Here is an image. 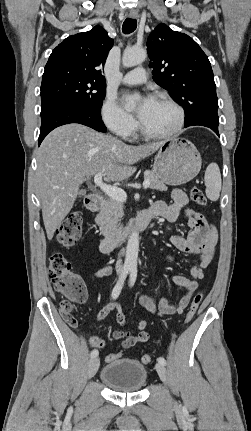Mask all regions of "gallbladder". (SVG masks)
Returning a JSON list of instances; mask_svg holds the SVG:
<instances>
[{
  "label": "gallbladder",
  "mask_w": 251,
  "mask_h": 431,
  "mask_svg": "<svg viewBox=\"0 0 251 431\" xmlns=\"http://www.w3.org/2000/svg\"><path fill=\"white\" fill-rule=\"evenodd\" d=\"M86 195V191L85 190H80L79 191V196H84Z\"/></svg>",
  "instance_id": "gallbladder-1"
}]
</instances>
